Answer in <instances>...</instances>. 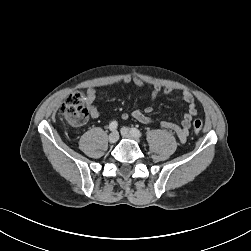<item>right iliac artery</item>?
Here are the masks:
<instances>
[{"label": "right iliac artery", "mask_w": 251, "mask_h": 251, "mask_svg": "<svg viewBox=\"0 0 251 251\" xmlns=\"http://www.w3.org/2000/svg\"><path fill=\"white\" fill-rule=\"evenodd\" d=\"M117 126H118V123L116 121H112L110 124H109V129L111 131H115L117 129Z\"/></svg>", "instance_id": "1"}]
</instances>
